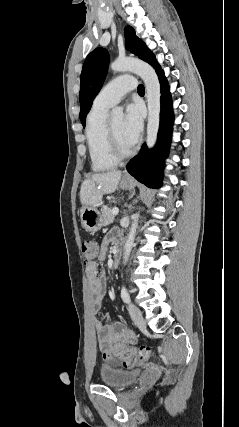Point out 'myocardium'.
<instances>
[{"label": "myocardium", "mask_w": 239, "mask_h": 427, "mask_svg": "<svg viewBox=\"0 0 239 427\" xmlns=\"http://www.w3.org/2000/svg\"><path fill=\"white\" fill-rule=\"evenodd\" d=\"M107 141H108V147H109L110 154L117 161L129 158L135 152L134 147H132L130 150H127V151H124L120 148V146L117 142L116 136L114 134V131L112 129L111 122L107 123Z\"/></svg>", "instance_id": "myocardium-1"}]
</instances>
